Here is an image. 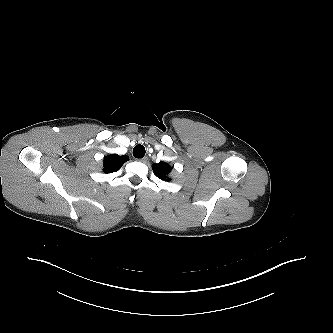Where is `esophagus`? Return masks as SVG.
Wrapping results in <instances>:
<instances>
[{"label":"esophagus","mask_w":333,"mask_h":333,"mask_svg":"<svg viewBox=\"0 0 333 333\" xmlns=\"http://www.w3.org/2000/svg\"><path fill=\"white\" fill-rule=\"evenodd\" d=\"M139 161H141V162H144V163H146L147 162V160H148V157L147 156H144L143 158H141V159H138Z\"/></svg>","instance_id":"obj_1"}]
</instances>
